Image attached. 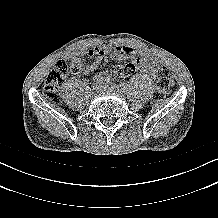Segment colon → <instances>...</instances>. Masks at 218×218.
<instances>
[{
	"instance_id": "5ec220e1",
	"label": "colon",
	"mask_w": 218,
	"mask_h": 218,
	"mask_svg": "<svg viewBox=\"0 0 218 218\" xmlns=\"http://www.w3.org/2000/svg\"><path fill=\"white\" fill-rule=\"evenodd\" d=\"M69 71H71L68 63L64 60L58 61L50 73L48 74L44 86L43 93L51 102H58L60 100V87L66 80ZM123 72V67L121 65L112 68V73L114 75H120ZM156 89L153 93L152 99L150 101L151 105H155L162 101L166 95L169 93L171 87V77L169 70L165 66L158 68L156 72Z\"/></svg>"
}]
</instances>
